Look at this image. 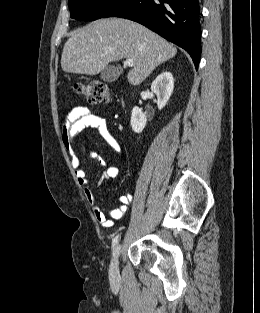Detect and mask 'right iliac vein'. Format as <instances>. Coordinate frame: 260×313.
I'll return each mask as SVG.
<instances>
[{
  "label": "right iliac vein",
  "instance_id": "right-iliac-vein-1",
  "mask_svg": "<svg viewBox=\"0 0 260 313\" xmlns=\"http://www.w3.org/2000/svg\"><path fill=\"white\" fill-rule=\"evenodd\" d=\"M120 251H121L120 245L116 246L114 251H113V257H112V261H111L110 269H109V275H110L111 279H115L119 275V261H118V259H119Z\"/></svg>",
  "mask_w": 260,
  "mask_h": 313
}]
</instances>
